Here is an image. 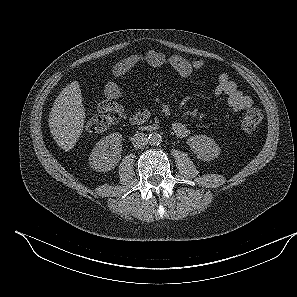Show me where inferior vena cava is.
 <instances>
[{
	"label": "inferior vena cava",
	"mask_w": 297,
	"mask_h": 297,
	"mask_svg": "<svg viewBox=\"0 0 297 297\" xmlns=\"http://www.w3.org/2000/svg\"><path fill=\"white\" fill-rule=\"evenodd\" d=\"M147 135L144 133H136L132 138V144L135 148L142 149L148 144Z\"/></svg>",
	"instance_id": "inferior-vena-cava-1"
}]
</instances>
